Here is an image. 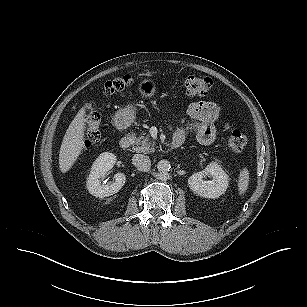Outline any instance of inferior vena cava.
Listing matches in <instances>:
<instances>
[{
    "instance_id": "obj_1",
    "label": "inferior vena cava",
    "mask_w": 307,
    "mask_h": 307,
    "mask_svg": "<svg viewBox=\"0 0 307 307\" xmlns=\"http://www.w3.org/2000/svg\"><path fill=\"white\" fill-rule=\"evenodd\" d=\"M132 162L139 170L144 172H147L151 167L149 157L143 154H135L132 157Z\"/></svg>"
}]
</instances>
